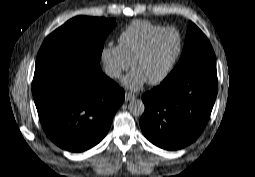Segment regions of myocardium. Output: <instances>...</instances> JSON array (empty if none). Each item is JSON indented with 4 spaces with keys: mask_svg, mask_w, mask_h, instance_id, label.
<instances>
[{
    "mask_svg": "<svg viewBox=\"0 0 255 177\" xmlns=\"http://www.w3.org/2000/svg\"><path fill=\"white\" fill-rule=\"evenodd\" d=\"M172 31L174 32L177 37H178V49L175 53V55L172 57V59L170 60V62L168 63L167 67L165 68V70L155 79L153 80H149L147 81L148 84L150 85H156V84H160L161 82H163L172 72L174 66L176 65L177 61L179 60L182 52H183V38L181 33L175 28V27H165L155 33H153L145 42V44L142 46V48L137 52V54L134 56V58L132 59L130 65L131 67H133L134 63L138 60H140L141 58H143L149 51V49L151 48L152 44L154 43V41L163 33L165 32H169Z\"/></svg>",
    "mask_w": 255,
    "mask_h": 177,
    "instance_id": "f54148a6",
    "label": "myocardium"
}]
</instances>
